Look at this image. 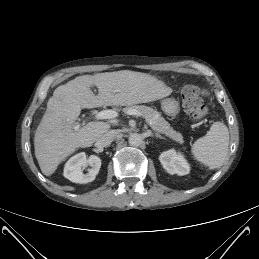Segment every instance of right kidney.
<instances>
[{"mask_svg": "<svg viewBox=\"0 0 259 259\" xmlns=\"http://www.w3.org/2000/svg\"><path fill=\"white\" fill-rule=\"evenodd\" d=\"M89 165L91 169L88 173L82 172V167ZM101 167V159L95 155H91L88 159L84 152L78 153L71 157L65 164L64 177L74 183L92 182L98 174Z\"/></svg>", "mask_w": 259, "mask_h": 259, "instance_id": "ca27d5eb", "label": "right kidney"}]
</instances>
